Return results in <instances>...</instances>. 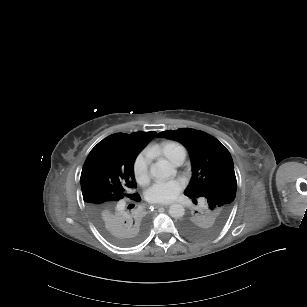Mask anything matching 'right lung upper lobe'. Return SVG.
<instances>
[{
	"mask_svg": "<svg viewBox=\"0 0 307 307\" xmlns=\"http://www.w3.org/2000/svg\"><path fill=\"white\" fill-rule=\"evenodd\" d=\"M156 132L115 133L99 142L89 153L81 173L83 199L99 228L138 239L147 230L149 217L141 208L133 164L138 153ZM107 184L111 191L105 196L90 198L89 184Z\"/></svg>",
	"mask_w": 307,
	"mask_h": 307,
	"instance_id": "1",
	"label": "right lung upper lobe"
}]
</instances>
